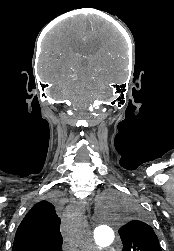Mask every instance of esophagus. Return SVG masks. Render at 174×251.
Instances as JSON below:
<instances>
[{"label":"esophagus","mask_w":174,"mask_h":251,"mask_svg":"<svg viewBox=\"0 0 174 251\" xmlns=\"http://www.w3.org/2000/svg\"><path fill=\"white\" fill-rule=\"evenodd\" d=\"M83 231H84V234H85L86 242L91 243V231L89 229V226H88L86 220L83 222Z\"/></svg>","instance_id":"34e87169"}]
</instances>
